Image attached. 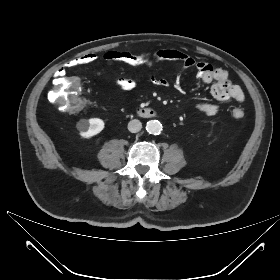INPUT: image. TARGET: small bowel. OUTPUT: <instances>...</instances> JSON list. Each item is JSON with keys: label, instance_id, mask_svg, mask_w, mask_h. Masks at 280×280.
<instances>
[{"label": "small bowel", "instance_id": "1", "mask_svg": "<svg viewBox=\"0 0 280 280\" xmlns=\"http://www.w3.org/2000/svg\"><path fill=\"white\" fill-rule=\"evenodd\" d=\"M146 57L150 56H134L121 51H108L103 56L104 60L107 62L122 61L130 66H142V61ZM96 58L95 54H86L72 59L67 62L65 67L59 70L57 74L91 64ZM152 58H154L156 62L164 60L180 61L185 69L195 68L197 81L203 84H210L211 95L218 101L234 100L238 103H242L245 100V94L242 89L231 80L229 73L223 68L214 67L207 62H196L191 56L175 49L159 50L152 55ZM149 81L152 85L157 87H164L170 84L167 79L155 75H150ZM115 83L117 86L125 90H131L137 86V81L135 79L127 77H117ZM173 84L179 89L181 87L180 78L176 77ZM197 108L207 115H214L219 110V106L216 103L209 101L198 103ZM240 110V108H235L233 110V116L235 118H239L235 115V112Z\"/></svg>", "mask_w": 280, "mask_h": 280}]
</instances>
